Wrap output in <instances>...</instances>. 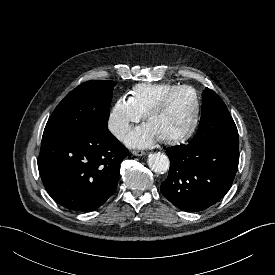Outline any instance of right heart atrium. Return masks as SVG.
<instances>
[{
    "mask_svg": "<svg viewBox=\"0 0 275 275\" xmlns=\"http://www.w3.org/2000/svg\"><path fill=\"white\" fill-rule=\"evenodd\" d=\"M142 115L136 110L130 99L122 96L116 100L108 118V128L118 139H123L133 124L139 122Z\"/></svg>",
    "mask_w": 275,
    "mask_h": 275,
    "instance_id": "d8ad5b80",
    "label": "right heart atrium"
}]
</instances>
